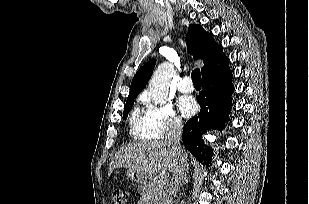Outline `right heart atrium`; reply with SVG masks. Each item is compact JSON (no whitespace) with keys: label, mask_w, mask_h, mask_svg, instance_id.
Returning <instances> with one entry per match:
<instances>
[{"label":"right heart atrium","mask_w":309,"mask_h":204,"mask_svg":"<svg viewBox=\"0 0 309 204\" xmlns=\"http://www.w3.org/2000/svg\"><path fill=\"white\" fill-rule=\"evenodd\" d=\"M145 127L146 138L162 139L179 132L183 123L170 103L156 104L145 102Z\"/></svg>","instance_id":"d8ad5b80"}]
</instances>
